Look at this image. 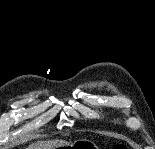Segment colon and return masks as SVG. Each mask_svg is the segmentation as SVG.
<instances>
[{"instance_id": "obj_1", "label": "colon", "mask_w": 155, "mask_h": 149, "mask_svg": "<svg viewBox=\"0 0 155 149\" xmlns=\"http://www.w3.org/2000/svg\"><path fill=\"white\" fill-rule=\"evenodd\" d=\"M116 149H127V146L124 144L117 145Z\"/></svg>"}]
</instances>
